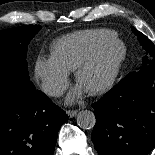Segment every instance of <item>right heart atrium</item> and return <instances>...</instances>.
Returning a JSON list of instances; mask_svg holds the SVG:
<instances>
[{
    "label": "right heart atrium",
    "instance_id": "right-heart-atrium-1",
    "mask_svg": "<svg viewBox=\"0 0 155 155\" xmlns=\"http://www.w3.org/2000/svg\"><path fill=\"white\" fill-rule=\"evenodd\" d=\"M35 75L44 92L50 96H60L68 86L69 72L59 65L52 56L37 58Z\"/></svg>",
    "mask_w": 155,
    "mask_h": 155
}]
</instances>
